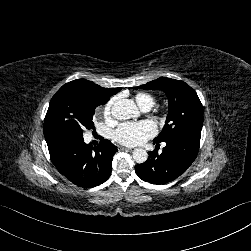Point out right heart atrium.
<instances>
[{
  "label": "right heart atrium",
  "mask_w": 251,
  "mask_h": 251,
  "mask_svg": "<svg viewBox=\"0 0 251 251\" xmlns=\"http://www.w3.org/2000/svg\"><path fill=\"white\" fill-rule=\"evenodd\" d=\"M117 99L112 97L105 104L99 108V112L102 114L103 118L107 121L112 120V111Z\"/></svg>",
  "instance_id": "obj_1"
}]
</instances>
